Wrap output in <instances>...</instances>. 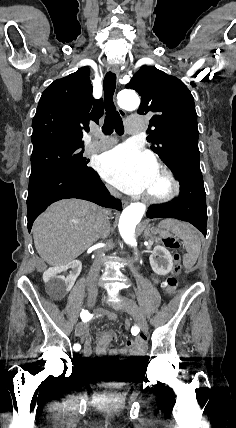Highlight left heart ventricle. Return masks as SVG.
Segmentation results:
<instances>
[{
  "label": "left heart ventricle",
  "instance_id": "b2bd125f",
  "mask_svg": "<svg viewBox=\"0 0 236 428\" xmlns=\"http://www.w3.org/2000/svg\"><path fill=\"white\" fill-rule=\"evenodd\" d=\"M169 189V184L161 172H154L144 193L162 195Z\"/></svg>",
  "mask_w": 236,
  "mask_h": 428
}]
</instances>
